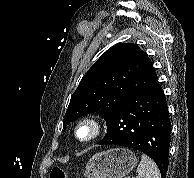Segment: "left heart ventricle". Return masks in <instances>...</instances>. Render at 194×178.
I'll return each mask as SVG.
<instances>
[{"instance_id":"b2bd125f","label":"left heart ventricle","mask_w":194,"mask_h":178,"mask_svg":"<svg viewBox=\"0 0 194 178\" xmlns=\"http://www.w3.org/2000/svg\"><path fill=\"white\" fill-rule=\"evenodd\" d=\"M90 134V129L88 127H84L79 131V136L81 138H86L88 137Z\"/></svg>"}]
</instances>
